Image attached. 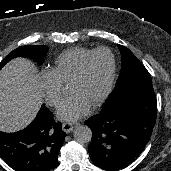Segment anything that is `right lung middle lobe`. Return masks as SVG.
<instances>
[{
  "label": "right lung middle lobe",
  "instance_id": "dd1d6c3e",
  "mask_svg": "<svg viewBox=\"0 0 171 171\" xmlns=\"http://www.w3.org/2000/svg\"><path fill=\"white\" fill-rule=\"evenodd\" d=\"M48 51V47L44 45H33V46H22L14 51H12L10 54H8L1 62H0V69L8 63L11 59L19 56L32 58L36 60L37 62L41 63L43 61V58L46 56V53Z\"/></svg>",
  "mask_w": 171,
  "mask_h": 171
}]
</instances>
